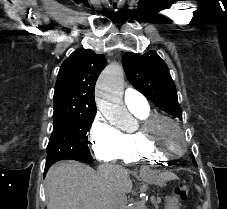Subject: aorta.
<instances>
[{
	"instance_id": "762f6f07",
	"label": "aorta",
	"mask_w": 227,
	"mask_h": 209,
	"mask_svg": "<svg viewBox=\"0 0 227 209\" xmlns=\"http://www.w3.org/2000/svg\"><path fill=\"white\" fill-rule=\"evenodd\" d=\"M123 84V69L117 63L107 66L97 81V105L102 114L110 120L128 114L122 101ZM130 209H146V206L144 201L141 200L135 202Z\"/></svg>"
}]
</instances>
